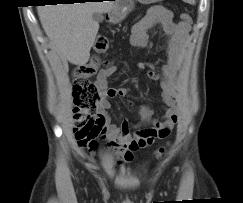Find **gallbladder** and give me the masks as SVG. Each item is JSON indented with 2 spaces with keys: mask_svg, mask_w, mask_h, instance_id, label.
I'll list each match as a JSON object with an SVG mask.
<instances>
[{
  "mask_svg": "<svg viewBox=\"0 0 243 203\" xmlns=\"http://www.w3.org/2000/svg\"><path fill=\"white\" fill-rule=\"evenodd\" d=\"M93 20L96 22L103 21V15L101 13L95 12L93 13Z\"/></svg>",
  "mask_w": 243,
  "mask_h": 203,
  "instance_id": "bac80fb5",
  "label": "gallbladder"
}]
</instances>
